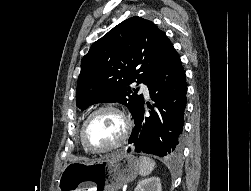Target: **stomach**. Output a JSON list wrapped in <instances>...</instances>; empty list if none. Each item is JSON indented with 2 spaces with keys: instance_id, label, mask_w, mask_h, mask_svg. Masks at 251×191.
Masks as SVG:
<instances>
[{
  "instance_id": "stomach-1",
  "label": "stomach",
  "mask_w": 251,
  "mask_h": 191,
  "mask_svg": "<svg viewBox=\"0 0 251 191\" xmlns=\"http://www.w3.org/2000/svg\"><path fill=\"white\" fill-rule=\"evenodd\" d=\"M139 159L132 153H109L96 161H72L66 165L58 183L59 191H117L137 177ZM85 189V191H91Z\"/></svg>"
}]
</instances>
